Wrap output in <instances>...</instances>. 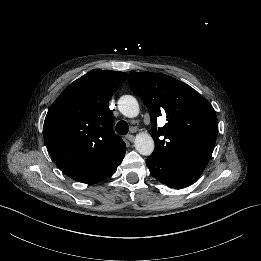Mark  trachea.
<instances>
[{
    "mask_svg": "<svg viewBox=\"0 0 261 261\" xmlns=\"http://www.w3.org/2000/svg\"><path fill=\"white\" fill-rule=\"evenodd\" d=\"M115 130L117 133H119L121 135H126L129 131L128 123L124 120L119 121L116 124Z\"/></svg>",
    "mask_w": 261,
    "mask_h": 261,
    "instance_id": "trachea-1",
    "label": "trachea"
}]
</instances>
